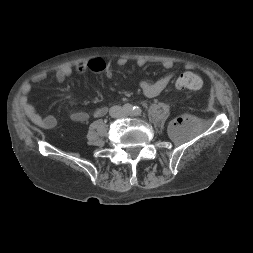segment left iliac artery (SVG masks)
Segmentation results:
<instances>
[{"label":"left iliac artery","mask_w":253,"mask_h":253,"mask_svg":"<svg viewBox=\"0 0 253 253\" xmlns=\"http://www.w3.org/2000/svg\"><path fill=\"white\" fill-rule=\"evenodd\" d=\"M141 112H142V110H141L140 107H138V106L133 107V113H134V115L138 116V115L141 114Z\"/></svg>","instance_id":"obj_1"}]
</instances>
